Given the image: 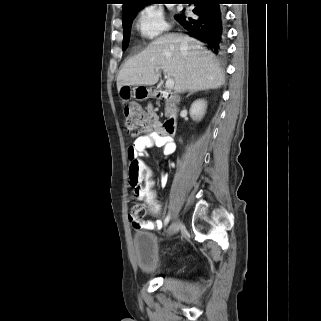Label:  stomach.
Masks as SVG:
<instances>
[{
  "mask_svg": "<svg viewBox=\"0 0 321 321\" xmlns=\"http://www.w3.org/2000/svg\"><path fill=\"white\" fill-rule=\"evenodd\" d=\"M118 93L120 99L124 102L130 100L131 98L142 101L152 96V90L146 86L125 85L121 87Z\"/></svg>",
  "mask_w": 321,
  "mask_h": 321,
  "instance_id": "stomach-1",
  "label": "stomach"
}]
</instances>
